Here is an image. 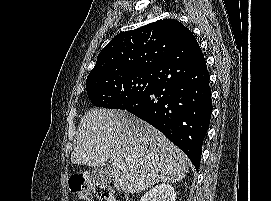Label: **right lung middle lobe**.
Here are the masks:
<instances>
[{
  "instance_id": "dd1d6c3e",
  "label": "right lung middle lobe",
  "mask_w": 271,
  "mask_h": 201,
  "mask_svg": "<svg viewBox=\"0 0 271 201\" xmlns=\"http://www.w3.org/2000/svg\"><path fill=\"white\" fill-rule=\"evenodd\" d=\"M153 73H119L87 78L89 99L98 107L119 109L152 86Z\"/></svg>"
}]
</instances>
